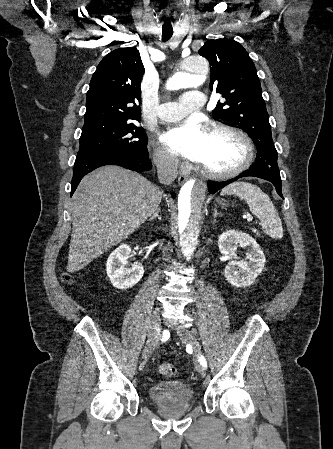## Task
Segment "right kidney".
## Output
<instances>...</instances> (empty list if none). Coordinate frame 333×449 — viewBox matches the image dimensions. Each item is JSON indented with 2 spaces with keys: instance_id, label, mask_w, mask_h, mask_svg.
Returning <instances> with one entry per match:
<instances>
[{
  "instance_id": "obj_1",
  "label": "right kidney",
  "mask_w": 333,
  "mask_h": 449,
  "mask_svg": "<svg viewBox=\"0 0 333 449\" xmlns=\"http://www.w3.org/2000/svg\"><path fill=\"white\" fill-rule=\"evenodd\" d=\"M130 253L131 248L129 246H120L107 259V275L112 285L117 289H129L143 277L144 268L142 264L136 262L132 268L126 267Z\"/></svg>"
}]
</instances>
